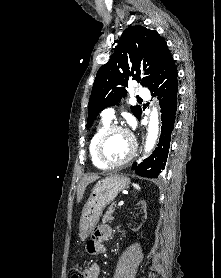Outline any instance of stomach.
I'll use <instances>...</instances> for the list:
<instances>
[{"label": "stomach", "instance_id": "0dacf381", "mask_svg": "<svg viewBox=\"0 0 221 278\" xmlns=\"http://www.w3.org/2000/svg\"><path fill=\"white\" fill-rule=\"evenodd\" d=\"M129 179L114 174L98 181L92 189L89 199L82 209L79 224V236L85 240L96 227L103 209L111 203L119 192L128 188Z\"/></svg>", "mask_w": 221, "mask_h": 278}]
</instances>
